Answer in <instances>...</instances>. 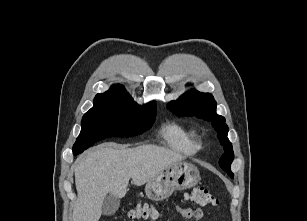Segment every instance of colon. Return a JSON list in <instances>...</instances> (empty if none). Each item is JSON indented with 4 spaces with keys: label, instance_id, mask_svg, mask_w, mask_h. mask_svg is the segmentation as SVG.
<instances>
[{
    "label": "colon",
    "instance_id": "5ec220e1",
    "mask_svg": "<svg viewBox=\"0 0 307 221\" xmlns=\"http://www.w3.org/2000/svg\"><path fill=\"white\" fill-rule=\"evenodd\" d=\"M192 202L205 207H213L218 203L217 198L205 187H195L187 197ZM131 218L157 219L158 211L149 203H139L131 212Z\"/></svg>",
    "mask_w": 307,
    "mask_h": 221
}]
</instances>
